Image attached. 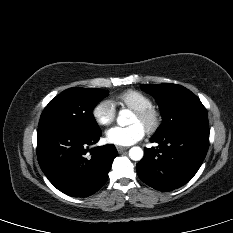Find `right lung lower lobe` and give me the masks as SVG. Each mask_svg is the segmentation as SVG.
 Wrapping results in <instances>:
<instances>
[{"label": "right lung lower lobe", "mask_w": 233, "mask_h": 233, "mask_svg": "<svg viewBox=\"0 0 233 233\" xmlns=\"http://www.w3.org/2000/svg\"><path fill=\"white\" fill-rule=\"evenodd\" d=\"M100 136L101 129L65 125L38 128V162L58 190L69 196L88 197L106 183L117 151L111 144L89 149Z\"/></svg>", "instance_id": "obj_1"}]
</instances>
